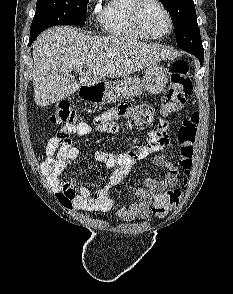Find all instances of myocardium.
<instances>
[{
    "label": "myocardium",
    "instance_id": "myocardium-1",
    "mask_svg": "<svg viewBox=\"0 0 233 294\" xmlns=\"http://www.w3.org/2000/svg\"><path fill=\"white\" fill-rule=\"evenodd\" d=\"M147 3H154L158 5L166 14L168 22H169V28L168 30L161 34V35H153L150 34L143 26L142 21H141V11L142 8L147 4ZM131 21L135 29L144 37L147 39H162L167 37L168 35L171 34L174 28V20L172 17V14L168 7L161 1V0H134V3L132 4L131 7Z\"/></svg>",
    "mask_w": 233,
    "mask_h": 294
}]
</instances>
